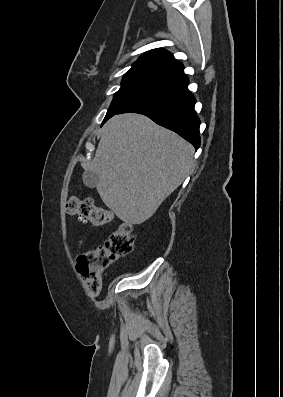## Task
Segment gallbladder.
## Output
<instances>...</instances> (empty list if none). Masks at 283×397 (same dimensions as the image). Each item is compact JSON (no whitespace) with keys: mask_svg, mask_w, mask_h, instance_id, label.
Masks as SVG:
<instances>
[{"mask_svg":"<svg viewBox=\"0 0 283 397\" xmlns=\"http://www.w3.org/2000/svg\"><path fill=\"white\" fill-rule=\"evenodd\" d=\"M82 180L85 186L94 188L99 181V175L92 171H86L82 175Z\"/></svg>","mask_w":283,"mask_h":397,"instance_id":"obj_1","label":"gallbladder"}]
</instances>
